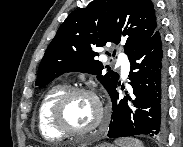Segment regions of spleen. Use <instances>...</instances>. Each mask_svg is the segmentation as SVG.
<instances>
[{"instance_id":"obj_1","label":"spleen","mask_w":183,"mask_h":147,"mask_svg":"<svg viewBox=\"0 0 183 147\" xmlns=\"http://www.w3.org/2000/svg\"><path fill=\"white\" fill-rule=\"evenodd\" d=\"M115 143L119 147H143V143L136 138L117 139Z\"/></svg>"}]
</instances>
